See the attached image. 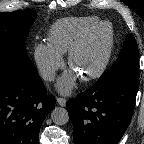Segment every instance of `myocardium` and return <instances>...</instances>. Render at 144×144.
I'll return each mask as SVG.
<instances>
[{
    "mask_svg": "<svg viewBox=\"0 0 144 144\" xmlns=\"http://www.w3.org/2000/svg\"><path fill=\"white\" fill-rule=\"evenodd\" d=\"M108 27L109 28V36H108V42H107V48L105 51V54L99 63V65L91 72L81 75L80 79L84 82H89L92 80H95L99 78L106 70L109 61L112 57L114 46H115V36H114V29L111 23L103 21L99 22L95 26L89 28L86 30L83 34H81L71 45V47L68 50L67 55V63L70 68H72L74 58L76 54L80 51V49L85 45V43L89 40V38L100 29Z\"/></svg>",
    "mask_w": 144,
    "mask_h": 144,
    "instance_id": "obj_1",
    "label": "myocardium"
}]
</instances>
